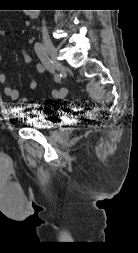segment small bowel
Segmentation results:
<instances>
[{"instance_id": "small-bowel-1", "label": "small bowel", "mask_w": 138, "mask_h": 253, "mask_svg": "<svg viewBox=\"0 0 138 253\" xmlns=\"http://www.w3.org/2000/svg\"><path fill=\"white\" fill-rule=\"evenodd\" d=\"M1 60L2 58L0 55V64H1ZM23 61L26 64H30L32 62V56L26 51L23 52ZM45 71H46V67L43 64H37L35 66V74H43L45 73ZM0 83L4 85V92L6 96H8L11 100H14V101L20 100L22 105H26L28 103L27 98L24 97L20 99V93L16 88L12 87L11 85L6 84V77H5L4 72L1 69V66H0ZM29 87L31 89H36L38 87V81H37L36 76H34L30 80Z\"/></svg>"}]
</instances>
